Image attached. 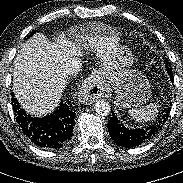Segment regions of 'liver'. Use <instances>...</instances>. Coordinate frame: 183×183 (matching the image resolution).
<instances>
[{"instance_id": "6515ba94", "label": "liver", "mask_w": 183, "mask_h": 183, "mask_svg": "<svg viewBox=\"0 0 183 183\" xmlns=\"http://www.w3.org/2000/svg\"><path fill=\"white\" fill-rule=\"evenodd\" d=\"M89 42L104 64L117 47L115 36H96ZM81 52V47L64 34L50 42L36 33L22 45L14 60L13 90L27 113L41 117L54 110L66 84L64 65Z\"/></svg>"}]
</instances>
